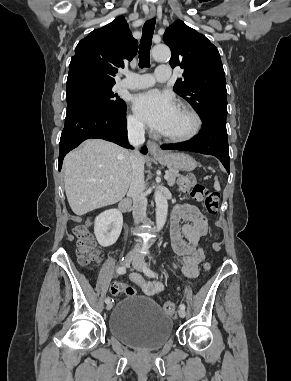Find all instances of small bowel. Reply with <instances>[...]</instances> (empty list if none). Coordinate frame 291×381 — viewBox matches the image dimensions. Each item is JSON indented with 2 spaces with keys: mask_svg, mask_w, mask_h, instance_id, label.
<instances>
[{
  "mask_svg": "<svg viewBox=\"0 0 291 381\" xmlns=\"http://www.w3.org/2000/svg\"><path fill=\"white\" fill-rule=\"evenodd\" d=\"M207 226L205 216L193 205L180 206L172 215L171 245L174 251L183 258L182 271L188 278H194L198 274V264L203 256L201 239L206 234ZM130 280L148 296L156 295L163 289L161 282L147 281L138 273H131Z\"/></svg>",
  "mask_w": 291,
  "mask_h": 381,
  "instance_id": "small-bowel-1",
  "label": "small bowel"
}]
</instances>
